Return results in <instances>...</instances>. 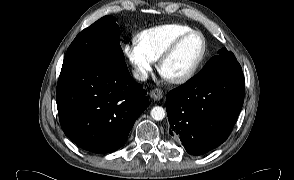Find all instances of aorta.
I'll return each mask as SVG.
<instances>
[{
	"label": "aorta",
	"instance_id": "aorta-1",
	"mask_svg": "<svg viewBox=\"0 0 294 180\" xmlns=\"http://www.w3.org/2000/svg\"><path fill=\"white\" fill-rule=\"evenodd\" d=\"M150 115L154 120L160 121L165 117V110L160 106H155L152 108Z\"/></svg>",
	"mask_w": 294,
	"mask_h": 180
}]
</instances>
